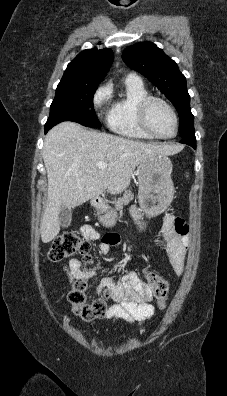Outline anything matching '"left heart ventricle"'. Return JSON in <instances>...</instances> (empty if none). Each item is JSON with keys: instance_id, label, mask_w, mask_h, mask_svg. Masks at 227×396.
I'll list each match as a JSON object with an SVG mask.
<instances>
[{"instance_id": "obj_1", "label": "left heart ventricle", "mask_w": 227, "mask_h": 396, "mask_svg": "<svg viewBox=\"0 0 227 396\" xmlns=\"http://www.w3.org/2000/svg\"><path fill=\"white\" fill-rule=\"evenodd\" d=\"M149 123L160 135L170 136L175 131V122L172 114L165 105L153 102L149 109Z\"/></svg>"}]
</instances>
